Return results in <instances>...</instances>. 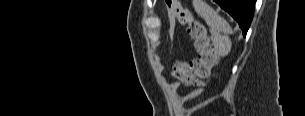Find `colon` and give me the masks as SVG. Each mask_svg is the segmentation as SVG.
Returning <instances> with one entry per match:
<instances>
[{
  "mask_svg": "<svg viewBox=\"0 0 305 116\" xmlns=\"http://www.w3.org/2000/svg\"><path fill=\"white\" fill-rule=\"evenodd\" d=\"M168 10L182 24L187 26L194 40L197 56L190 62H177L173 75L181 83L193 87H205L217 57L206 35L203 25L195 20L192 12L178 0H166Z\"/></svg>",
  "mask_w": 305,
  "mask_h": 116,
  "instance_id": "colon-1",
  "label": "colon"
}]
</instances>
